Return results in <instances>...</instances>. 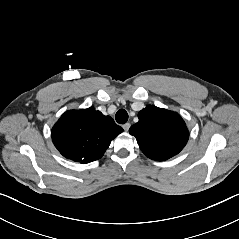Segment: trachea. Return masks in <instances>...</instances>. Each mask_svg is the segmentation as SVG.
Returning <instances> with one entry per match:
<instances>
[{
    "instance_id": "3493384b",
    "label": "trachea",
    "mask_w": 239,
    "mask_h": 239,
    "mask_svg": "<svg viewBox=\"0 0 239 239\" xmlns=\"http://www.w3.org/2000/svg\"><path fill=\"white\" fill-rule=\"evenodd\" d=\"M115 119L117 121V123L119 124H125L128 120V113L126 110L124 109H120L117 111L116 115H115Z\"/></svg>"
}]
</instances>
